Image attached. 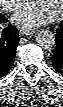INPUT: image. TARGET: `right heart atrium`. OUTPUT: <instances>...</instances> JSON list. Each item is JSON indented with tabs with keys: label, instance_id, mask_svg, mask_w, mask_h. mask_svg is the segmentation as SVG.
Masks as SVG:
<instances>
[{
	"label": "right heart atrium",
	"instance_id": "right-heart-atrium-1",
	"mask_svg": "<svg viewBox=\"0 0 63 107\" xmlns=\"http://www.w3.org/2000/svg\"><path fill=\"white\" fill-rule=\"evenodd\" d=\"M21 4L20 0H3V6L8 11H13Z\"/></svg>",
	"mask_w": 63,
	"mask_h": 107
}]
</instances>
